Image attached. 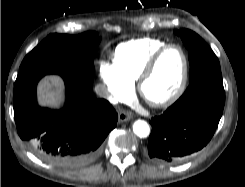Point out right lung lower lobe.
<instances>
[{"label":"right lung lower lobe","mask_w":245,"mask_h":187,"mask_svg":"<svg viewBox=\"0 0 245 187\" xmlns=\"http://www.w3.org/2000/svg\"><path fill=\"white\" fill-rule=\"evenodd\" d=\"M47 74L64 79L67 101L61 110L37 104L36 86ZM92 82L91 73L61 65H31L19 70L13 93L17 131L45 162L65 169L91 163L117 125V113L108 101L94 97Z\"/></svg>","instance_id":"1"}]
</instances>
